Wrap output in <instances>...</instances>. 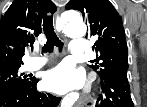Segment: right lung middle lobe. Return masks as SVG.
<instances>
[{
  "mask_svg": "<svg viewBox=\"0 0 147 107\" xmlns=\"http://www.w3.org/2000/svg\"><path fill=\"white\" fill-rule=\"evenodd\" d=\"M21 65H13L0 70V94L27 86L32 81L27 75L20 73Z\"/></svg>",
  "mask_w": 147,
  "mask_h": 107,
  "instance_id": "1",
  "label": "right lung middle lobe"
}]
</instances>
